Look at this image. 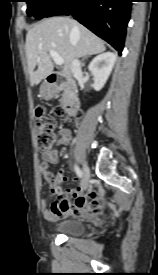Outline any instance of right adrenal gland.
<instances>
[{
    "mask_svg": "<svg viewBox=\"0 0 158 275\" xmlns=\"http://www.w3.org/2000/svg\"><path fill=\"white\" fill-rule=\"evenodd\" d=\"M90 56H85L83 59H82V66H85V63H84V60L88 59Z\"/></svg>",
    "mask_w": 158,
    "mask_h": 275,
    "instance_id": "1",
    "label": "right adrenal gland"
}]
</instances>
